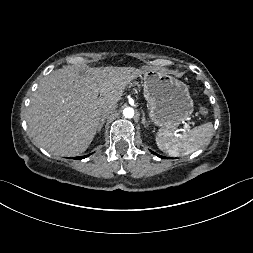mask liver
Instances as JSON below:
<instances>
[{
    "label": "liver",
    "instance_id": "liver-1",
    "mask_svg": "<svg viewBox=\"0 0 253 253\" xmlns=\"http://www.w3.org/2000/svg\"><path fill=\"white\" fill-rule=\"evenodd\" d=\"M141 74L132 67L67 66L53 71L39 85L28 108L32 138L56 155L83 153L98 130L102 109L117 105L127 85Z\"/></svg>",
    "mask_w": 253,
    "mask_h": 253
}]
</instances>
